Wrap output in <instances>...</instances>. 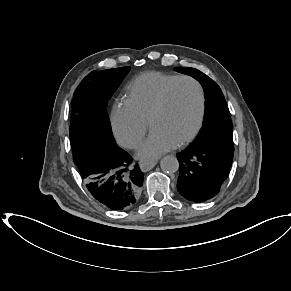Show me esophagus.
Wrapping results in <instances>:
<instances>
[{"label": "esophagus", "instance_id": "esophagus-1", "mask_svg": "<svg viewBox=\"0 0 291 291\" xmlns=\"http://www.w3.org/2000/svg\"><path fill=\"white\" fill-rule=\"evenodd\" d=\"M156 164H157V161L141 163L140 168L142 171H148V170H151Z\"/></svg>", "mask_w": 291, "mask_h": 291}]
</instances>
